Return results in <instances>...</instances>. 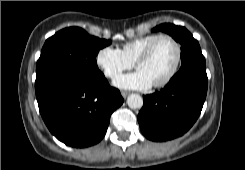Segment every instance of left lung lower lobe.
Masks as SVG:
<instances>
[{
    "label": "left lung lower lobe",
    "mask_w": 245,
    "mask_h": 170,
    "mask_svg": "<svg viewBox=\"0 0 245 170\" xmlns=\"http://www.w3.org/2000/svg\"><path fill=\"white\" fill-rule=\"evenodd\" d=\"M207 86L206 68L182 67L160 92L143 96L138 115L143 135L152 141L182 136L199 117Z\"/></svg>",
    "instance_id": "1"
}]
</instances>
